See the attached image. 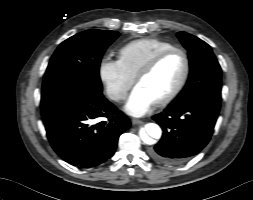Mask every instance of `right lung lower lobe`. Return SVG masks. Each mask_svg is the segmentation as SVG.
Segmentation results:
<instances>
[{
  "instance_id": "obj_1",
  "label": "right lung lower lobe",
  "mask_w": 253,
  "mask_h": 200,
  "mask_svg": "<svg viewBox=\"0 0 253 200\" xmlns=\"http://www.w3.org/2000/svg\"><path fill=\"white\" fill-rule=\"evenodd\" d=\"M41 112L54 151L81 168L113 156L119 136L130 127L129 119L102 94L77 88L43 90Z\"/></svg>"
}]
</instances>
